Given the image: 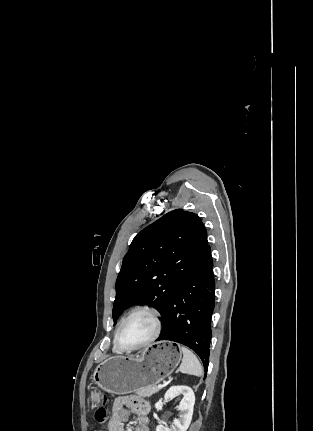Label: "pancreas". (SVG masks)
<instances>
[{"label": "pancreas", "instance_id": "obj_1", "mask_svg": "<svg viewBox=\"0 0 313 431\" xmlns=\"http://www.w3.org/2000/svg\"><path fill=\"white\" fill-rule=\"evenodd\" d=\"M158 391L159 389L156 386H147L137 390L136 393L142 397H150Z\"/></svg>", "mask_w": 313, "mask_h": 431}]
</instances>
